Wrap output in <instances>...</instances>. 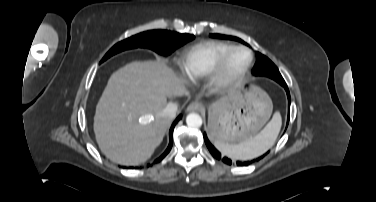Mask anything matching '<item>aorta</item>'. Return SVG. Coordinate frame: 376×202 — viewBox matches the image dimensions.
Returning <instances> with one entry per match:
<instances>
[{"label":"aorta","instance_id":"1","mask_svg":"<svg viewBox=\"0 0 376 202\" xmlns=\"http://www.w3.org/2000/svg\"><path fill=\"white\" fill-rule=\"evenodd\" d=\"M186 123L188 127L191 128H199L202 126V118L199 114L197 113H189L186 117Z\"/></svg>","mask_w":376,"mask_h":202}]
</instances>
